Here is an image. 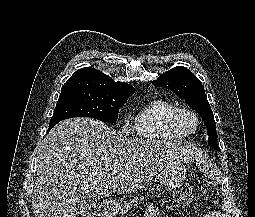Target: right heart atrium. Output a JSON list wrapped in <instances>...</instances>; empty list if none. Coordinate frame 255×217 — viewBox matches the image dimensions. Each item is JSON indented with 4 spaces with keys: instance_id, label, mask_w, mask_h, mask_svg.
Instances as JSON below:
<instances>
[{
    "instance_id": "obj_1",
    "label": "right heart atrium",
    "mask_w": 255,
    "mask_h": 217,
    "mask_svg": "<svg viewBox=\"0 0 255 217\" xmlns=\"http://www.w3.org/2000/svg\"><path fill=\"white\" fill-rule=\"evenodd\" d=\"M122 129L126 133L129 132V126L128 125H124Z\"/></svg>"
}]
</instances>
